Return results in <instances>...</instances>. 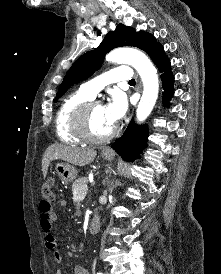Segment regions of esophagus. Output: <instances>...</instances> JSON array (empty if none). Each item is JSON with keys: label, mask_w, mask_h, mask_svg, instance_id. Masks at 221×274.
Segmentation results:
<instances>
[{"label": "esophagus", "mask_w": 221, "mask_h": 274, "mask_svg": "<svg viewBox=\"0 0 221 274\" xmlns=\"http://www.w3.org/2000/svg\"><path fill=\"white\" fill-rule=\"evenodd\" d=\"M139 88H141V83H139ZM103 152H105V153H113V151L109 148V147H106L104 150H103Z\"/></svg>", "instance_id": "1"}]
</instances>
